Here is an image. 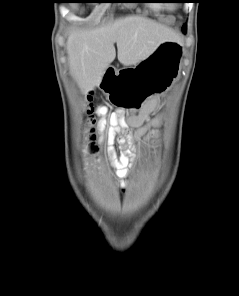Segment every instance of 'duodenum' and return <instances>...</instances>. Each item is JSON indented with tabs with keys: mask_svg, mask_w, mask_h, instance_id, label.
<instances>
[{
	"mask_svg": "<svg viewBox=\"0 0 239 296\" xmlns=\"http://www.w3.org/2000/svg\"><path fill=\"white\" fill-rule=\"evenodd\" d=\"M117 74H118L117 69H115L113 67L109 68L103 78V82L111 83V82L115 81Z\"/></svg>",
	"mask_w": 239,
	"mask_h": 296,
	"instance_id": "1",
	"label": "duodenum"
}]
</instances>
